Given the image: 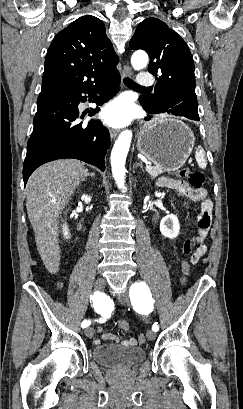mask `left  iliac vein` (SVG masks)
I'll return each mask as SVG.
<instances>
[{
	"mask_svg": "<svg viewBox=\"0 0 243 409\" xmlns=\"http://www.w3.org/2000/svg\"><path fill=\"white\" fill-rule=\"evenodd\" d=\"M118 299H119L120 303L123 304V305H128L129 302H130L127 293L120 294L118 296ZM146 336H147L148 340H154L156 338V333L153 330H149V331H147Z\"/></svg>",
	"mask_w": 243,
	"mask_h": 409,
	"instance_id": "obj_1",
	"label": "left iliac vein"
}]
</instances>
